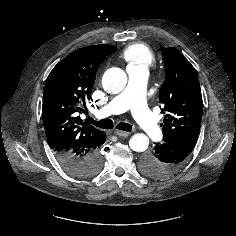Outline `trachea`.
I'll use <instances>...</instances> for the list:
<instances>
[{"instance_id":"1","label":"trachea","mask_w":236,"mask_h":236,"mask_svg":"<svg viewBox=\"0 0 236 236\" xmlns=\"http://www.w3.org/2000/svg\"><path fill=\"white\" fill-rule=\"evenodd\" d=\"M88 124H93L102 129H112L113 128V121L111 119H102L100 121H95L91 117H89L86 121ZM117 129L122 131L130 132L132 130V126L128 123L120 122L117 126Z\"/></svg>"}]
</instances>
